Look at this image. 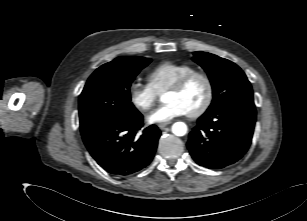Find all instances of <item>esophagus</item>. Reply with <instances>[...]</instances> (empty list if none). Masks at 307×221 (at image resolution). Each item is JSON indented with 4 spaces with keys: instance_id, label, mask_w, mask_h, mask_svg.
Masks as SVG:
<instances>
[{
    "instance_id": "obj_1",
    "label": "esophagus",
    "mask_w": 307,
    "mask_h": 221,
    "mask_svg": "<svg viewBox=\"0 0 307 221\" xmlns=\"http://www.w3.org/2000/svg\"><path fill=\"white\" fill-rule=\"evenodd\" d=\"M169 124H170V122L161 123V124L158 125V127H159L161 130H163V129H165Z\"/></svg>"
}]
</instances>
